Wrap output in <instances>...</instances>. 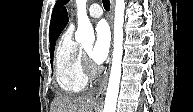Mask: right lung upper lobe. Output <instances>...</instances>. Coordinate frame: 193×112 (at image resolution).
<instances>
[{
	"label": "right lung upper lobe",
	"mask_w": 193,
	"mask_h": 112,
	"mask_svg": "<svg viewBox=\"0 0 193 112\" xmlns=\"http://www.w3.org/2000/svg\"><path fill=\"white\" fill-rule=\"evenodd\" d=\"M68 15H67V10L64 8L61 13L60 16L58 18L57 21V25H56V29H55V34L54 36L51 38V47L50 50L54 48L55 46V41L58 38V36L60 35V33L63 31V29L65 28V26L68 23Z\"/></svg>",
	"instance_id": "right-lung-upper-lobe-1"
}]
</instances>
